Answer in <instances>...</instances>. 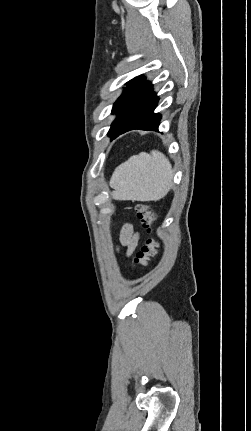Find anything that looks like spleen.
<instances>
[{
    "label": "spleen",
    "mask_w": 251,
    "mask_h": 431,
    "mask_svg": "<svg viewBox=\"0 0 251 431\" xmlns=\"http://www.w3.org/2000/svg\"><path fill=\"white\" fill-rule=\"evenodd\" d=\"M172 166L161 152H141L116 167L110 179L115 200L156 201L164 198L172 182Z\"/></svg>",
    "instance_id": "3e777b00"
}]
</instances>
